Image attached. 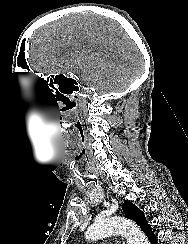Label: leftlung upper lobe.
<instances>
[{
    "label": "left lung upper lobe",
    "instance_id": "5c2ea615",
    "mask_svg": "<svg viewBox=\"0 0 188 244\" xmlns=\"http://www.w3.org/2000/svg\"><path fill=\"white\" fill-rule=\"evenodd\" d=\"M122 209L125 214V217L135 221L137 224L141 221L142 217L144 216V213L130 201H124Z\"/></svg>",
    "mask_w": 188,
    "mask_h": 244
}]
</instances>
